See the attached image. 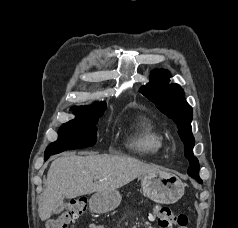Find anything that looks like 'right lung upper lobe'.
I'll return each mask as SVG.
<instances>
[{
	"label": "right lung upper lobe",
	"instance_id": "cb5924a9",
	"mask_svg": "<svg viewBox=\"0 0 238 228\" xmlns=\"http://www.w3.org/2000/svg\"><path fill=\"white\" fill-rule=\"evenodd\" d=\"M102 105L101 103H96L92 106H82V107H72V110L74 111V113L76 114H86V113H90L96 106Z\"/></svg>",
	"mask_w": 238,
	"mask_h": 228
}]
</instances>
